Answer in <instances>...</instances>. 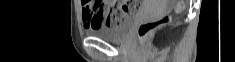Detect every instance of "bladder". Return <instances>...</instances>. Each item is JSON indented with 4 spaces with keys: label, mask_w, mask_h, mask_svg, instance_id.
I'll return each instance as SVG.
<instances>
[{
    "label": "bladder",
    "mask_w": 235,
    "mask_h": 62,
    "mask_svg": "<svg viewBox=\"0 0 235 62\" xmlns=\"http://www.w3.org/2000/svg\"><path fill=\"white\" fill-rule=\"evenodd\" d=\"M134 20L135 15H124L117 25L101 26L97 29L90 30L89 34L107 42H119L128 35Z\"/></svg>",
    "instance_id": "obj_1"
}]
</instances>
